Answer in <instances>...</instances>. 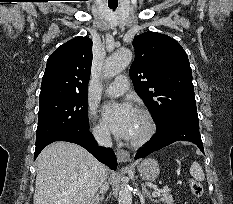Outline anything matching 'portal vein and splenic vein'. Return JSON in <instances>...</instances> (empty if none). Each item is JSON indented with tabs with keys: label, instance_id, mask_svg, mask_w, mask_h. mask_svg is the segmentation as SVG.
Instances as JSON below:
<instances>
[{
	"label": "portal vein and splenic vein",
	"instance_id": "18ae733b",
	"mask_svg": "<svg viewBox=\"0 0 233 204\" xmlns=\"http://www.w3.org/2000/svg\"><path fill=\"white\" fill-rule=\"evenodd\" d=\"M161 192H162L161 189H156V190L152 193V195H153V196H159V195L161 194Z\"/></svg>",
	"mask_w": 233,
	"mask_h": 204
}]
</instances>
